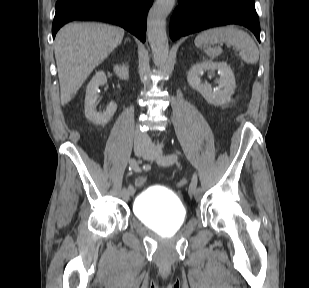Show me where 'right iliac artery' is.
<instances>
[{
	"label": "right iliac artery",
	"instance_id": "1",
	"mask_svg": "<svg viewBox=\"0 0 309 288\" xmlns=\"http://www.w3.org/2000/svg\"><path fill=\"white\" fill-rule=\"evenodd\" d=\"M141 168V170L143 171V170H151V168H150V165H141L140 166ZM127 190H129V193H134V186L133 185H127Z\"/></svg>",
	"mask_w": 309,
	"mask_h": 288
}]
</instances>
